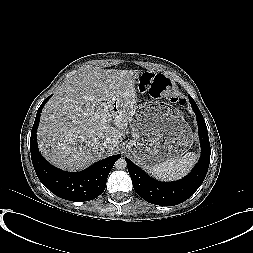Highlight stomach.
I'll list each match as a JSON object with an SVG mask.
<instances>
[{"label":"stomach","mask_w":253,"mask_h":253,"mask_svg":"<svg viewBox=\"0 0 253 253\" xmlns=\"http://www.w3.org/2000/svg\"><path fill=\"white\" fill-rule=\"evenodd\" d=\"M132 140L127 150L142 167L181 157L193 142V133L181 112L165 101L136 106L129 122Z\"/></svg>","instance_id":"1"}]
</instances>
